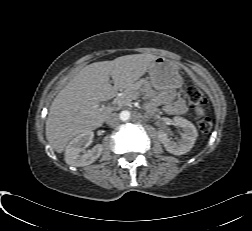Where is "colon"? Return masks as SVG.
Masks as SVG:
<instances>
[{
  "label": "colon",
  "mask_w": 252,
  "mask_h": 231,
  "mask_svg": "<svg viewBox=\"0 0 252 231\" xmlns=\"http://www.w3.org/2000/svg\"><path fill=\"white\" fill-rule=\"evenodd\" d=\"M186 100L191 107H198L206 103L203 93L195 87L187 89ZM198 127L202 133H208L212 128V119L208 115L203 116L198 121Z\"/></svg>",
  "instance_id": "1"
}]
</instances>
